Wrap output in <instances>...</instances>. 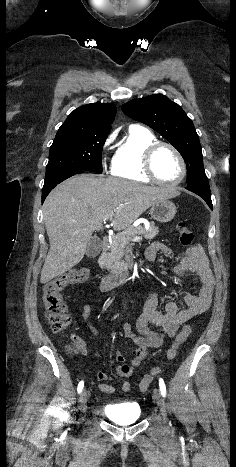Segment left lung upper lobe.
Wrapping results in <instances>:
<instances>
[{
	"label": "left lung upper lobe",
	"mask_w": 236,
	"mask_h": 467,
	"mask_svg": "<svg viewBox=\"0 0 236 467\" xmlns=\"http://www.w3.org/2000/svg\"><path fill=\"white\" fill-rule=\"evenodd\" d=\"M122 111L160 133L180 152L187 167V185L208 183L198 134L178 104L154 94L125 103Z\"/></svg>",
	"instance_id": "obj_1"
}]
</instances>
